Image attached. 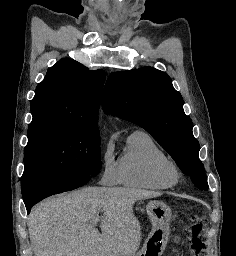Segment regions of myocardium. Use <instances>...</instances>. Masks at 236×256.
Returning <instances> with one entry per match:
<instances>
[{
    "label": "myocardium",
    "mask_w": 236,
    "mask_h": 256,
    "mask_svg": "<svg viewBox=\"0 0 236 256\" xmlns=\"http://www.w3.org/2000/svg\"><path fill=\"white\" fill-rule=\"evenodd\" d=\"M158 175L171 183H177L182 176L180 167L174 161L168 160L161 163L157 169Z\"/></svg>",
    "instance_id": "f54148a6"
}]
</instances>
